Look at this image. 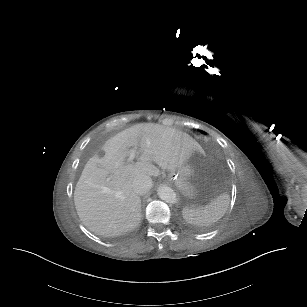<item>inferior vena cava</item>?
<instances>
[{
  "mask_svg": "<svg viewBox=\"0 0 307 307\" xmlns=\"http://www.w3.org/2000/svg\"><path fill=\"white\" fill-rule=\"evenodd\" d=\"M132 187L136 194L144 195L153 187V181L150 176L139 175L134 178Z\"/></svg>",
  "mask_w": 307,
  "mask_h": 307,
  "instance_id": "inferior-vena-cava-1",
  "label": "inferior vena cava"
}]
</instances>
